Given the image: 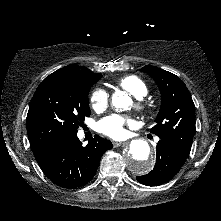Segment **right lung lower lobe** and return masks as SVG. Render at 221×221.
<instances>
[{
	"label": "right lung lower lobe",
	"mask_w": 221,
	"mask_h": 221,
	"mask_svg": "<svg viewBox=\"0 0 221 221\" xmlns=\"http://www.w3.org/2000/svg\"><path fill=\"white\" fill-rule=\"evenodd\" d=\"M45 175L64 188L86 185L95 175L104 152L112 143L98 135L83 146L77 132L66 133L31 147Z\"/></svg>",
	"instance_id": "1"
}]
</instances>
